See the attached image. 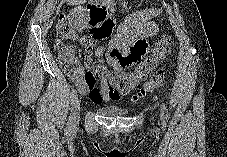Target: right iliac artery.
Returning <instances> with one entry per match:
<instances>
[{"mask_svg":"<svg viewBox=\"0 0 227 157\" xmlns=\"http://www.w3.org/2000/svg\"><path fill=\"white\" fill-rule=\"evenodd\" d=\"M76 96H77V91H76V89H72L71 95H70V97H71V104L74 103V100H75ZM68 125H70V119H69Z\"/></svg>","mask_w":227,"mask_h":157,"instance_id":"1","label":"right iliac artery"}]
</instances>
